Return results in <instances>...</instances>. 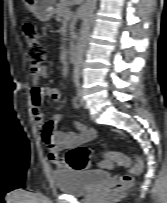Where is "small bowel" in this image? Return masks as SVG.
<instances>
[{
  "instance_id": "obj_1",
  "label": "small bowel",
  "mask_w": 167,
  "mask_h": 203,
  "mask_svg": "<svg viewBox=\"0 0 167 203\" xmlns=\"http://www.w3.org/2000/svg\"><path fill=\"white\" fill-rule=\"evenodd\" d=\"M47 66H42L39 70H30V77L33 82L31 89V105L33 110L34 119L38 125L42 140L47 146L49 153L48 158L53 165L58 168L66 166V161L60 156V153L64 150H69L72 147L78 145H84L93 141L97 132L93 128L85 126L78 120L73 119V124L78 130V133L73 131H59L56 130L57 125L66 117L64 114H56L49 121H45V115L42 110V100L44 97H49L54 104L59 103L61 99V93L56 88L43 87L38 85V80L41 77L48 76ZM73 105L76 109H80L81 105L77 100L73 101ZM107 159L104 160L100 166L103 168L110 169L113 167L111 158L105 156Z\"/></svg>"
}]
</instances>
